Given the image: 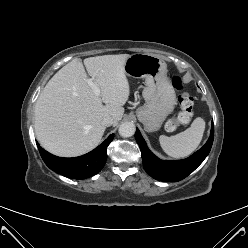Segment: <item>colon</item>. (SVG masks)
Here are the masks:
<instances>
[{
  "label": "colon",
  "instance_id": "5ec220e1",
  "mask_svg": "<svg viewBox=\"0 0 248 248\" xmlns=\"http://www.w3.org/2000/svg\"><path fill=\"white\" fill-rule=\"evenodd\" d=\"M174 87L180 92L178 103L181 111L175 114L166 124V128L170 131L177 129L179 126L186 124L192 115L194 107V98L185 89L182 79L179 75L172 77Z\"/></svg>",
  "mask_w": 248,
  "mask_h": 248
}]
</instances>
